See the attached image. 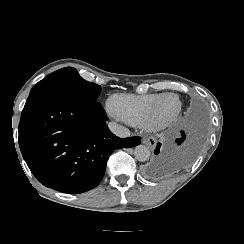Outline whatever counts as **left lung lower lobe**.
<instances>
[{
	"mask_svg": "<svg viewBox=\"0 0 244 244\" xmlns=\"http://www.w3.org/2000/svg\"><path fill=\"white\" fill-rule=\"evenodd\" d=\"M181 135H182V137H181L180 139H177V140H176V142H177L178 144H181V142H183L184 139H185V135H184L183 132L181 133ZM160 146H161V144H157V146H156V149H155V154H156V155L159 153Z\"/></svg>",
	"mask_w": 244,
	"mask_h": 244,
	"instance_id": "0a47b994",
	"label": "left lung lower lobe"
}]
</instances>
